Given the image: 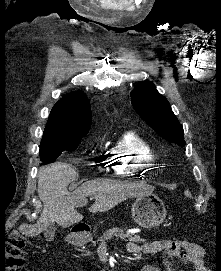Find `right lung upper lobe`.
Segmentation results:
<instances>
[{"label": "right lung upper lobe", "mask_w": 221, "mask_h": 271, "mask_svg": "<svg viewBox=\"0 0 221 271\" xmlns=\"http://www.w3.org/2000/svg\"><path fill=\"white\" fill-rule=\"evenodd\" d=\"M91 122L90 102L83 92L76 91L75 94H67L55 104L48 118L44 136H85L89 132Z\"/></svg>", "instance_id": "obj_1"}]
</instances>
